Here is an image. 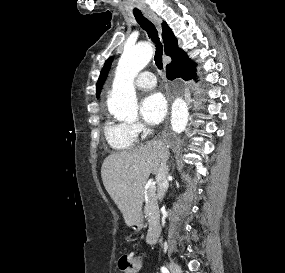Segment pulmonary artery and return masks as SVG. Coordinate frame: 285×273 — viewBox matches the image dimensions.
<instances>
[{"instance_id": "1", "label": "pulmonary artery", "mask_w": 285, "mask_h": 273, "mask_svg": "<svg viewBox=\"0 0 285 273\" xmlns=\"http://www.w3.org/2000/svg\"><path fill=\"white\" fill-rule=\"evenodd\" d=\"M156 77L150 71L141 72L136 78L135 84L141 89H150L156 86Z\"/></svg>"}]
</instances>
